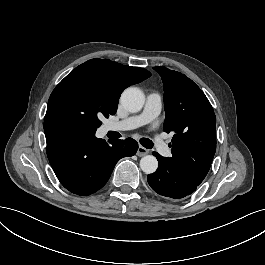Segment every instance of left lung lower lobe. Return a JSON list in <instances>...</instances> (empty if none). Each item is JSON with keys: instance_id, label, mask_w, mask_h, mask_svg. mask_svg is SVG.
Segmentation results:
<instances>
[{"instance_id": "left-lung-lower-lobe-1", "label": "left lung lower lobe", "mask_w": 265, "mask_h": 265, "mask_svg": "<svg viewBox=\"0 0 265 265\" xmlns=\"http://www.w3.org/2000/svg\"><path fill=\"white\" fill-rule=\"evenodd\" d=\"M153 155L158 159V169L147 177L150 187L159 195L180 199L193 193L201 184L186 174L181 168L170 163L167 158L157 152Z\"/></svg>"}]
</instances>
